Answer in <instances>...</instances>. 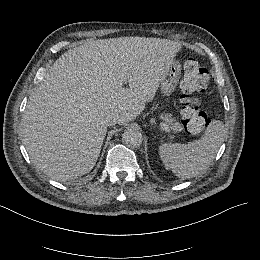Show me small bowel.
<instances>
[{
	"mask_svg": "<svg viewBox=\"0 0 260 260\" xmlns=\"http://www.w3.org/2000/svg\"><path fill=\"white\" fill-rule=\"evenodd\" d=\"M196 100H197V103L199 104L200 103V98L197 97Z\"/></svg>",
	"mask_w": 260,
	"mask_h": 260,
	"instance_id": "1",
	"label": "small bowel"
}]
</instances>
